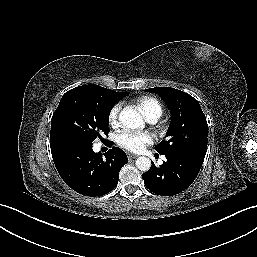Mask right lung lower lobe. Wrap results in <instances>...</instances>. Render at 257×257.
Masks as SVG:
<instances>
[{
    "label": "right lung lower lobe",
    "mask_w": 257,
    "mask_h": 257,
    "mask_svg": "<svg viewBox=\"0 0 257 257\" xmlns=\"http://www.w3.org/2000/svg\"><path fill=\"white\" fill-rule=\"evenodd\" d=\"M56 169L63 181L85 196H102L112 191L119 172L128 158L123 150L112 147L105 157L92 150V142L65 139L50 143Z\"/></svg>",
    "instance_id": "98d812e1"
}]
</instances>
